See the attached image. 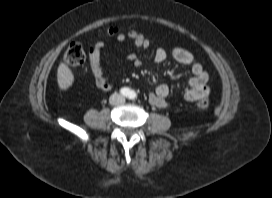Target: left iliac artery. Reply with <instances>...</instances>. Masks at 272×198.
I'll return each mask as SVG.
<instances>
[{
    "mask_svg": "<svg viewBox=\"0 0 272 198\" xmlns=\"http://www.w3.org/2000/svg\"><path fill=\"white\" fill-rule=\"evenodd\" d=\"M136 97V93L134 91H131L129 94L130 99H134Z\"/></svg>",
    "mask_w": 272,
    "mask_h": 198,
    "instance_id": "1",
    "label": "left iliac artery"
}]
</instances>
